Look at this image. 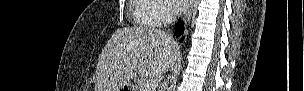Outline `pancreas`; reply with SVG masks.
Segmentation results:
<instances>
[{
	"instance_id": "1",
	"label": "pancreas",
	"mask_w": 304,
	"mask_h": 91,
	"mask_svg": "<svg viewBox=\"0 0 304 91\" xmlns=\"http://www.w3.org/2000/svg\"><path fill=\"white\" fill-rule=\"evenodd\" d=\"M145 82H146L145 79H143V78L140 79V80L138 81L137 86H136V90H137V91H153V90H148V89L145 88Z\"/></svg>"
}]
</instances>
